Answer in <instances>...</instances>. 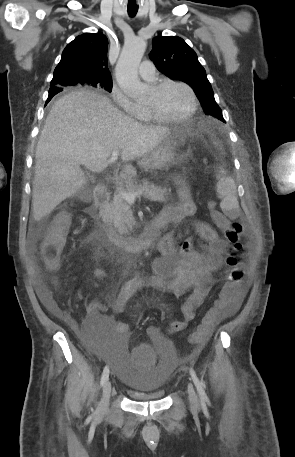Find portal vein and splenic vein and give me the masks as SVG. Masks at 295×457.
<instances>
[{
  "label": "portal vein and splenic vein",
  "mask_w": 295,
  "mask_h": 457,
  "mask_svg": "<svg viewBox=\"0 0 295 457\" xmlns=\"http://www.w3.org/2000/svg\"><path fill=\"white\" fill-rule=\"evenodd\" d=\"M119 156V150H115L112 152L111 158L107 161L108 164L117 160ZM122 198H124L127 202H134L135 198L141 194V192H134V193H126L123 191H119Z\"/></svg>",
  "instance_id": "1"
}]
</instances>
